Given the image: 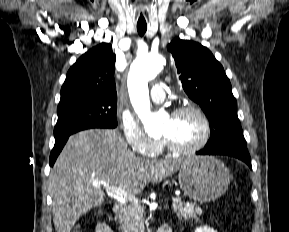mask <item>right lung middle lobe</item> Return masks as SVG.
I'll list each match as a JSON object with an SVG mask.
<instances>
[{"mask_svg":"<svg viewBox=\"0 0 289 232\" xmlns=\"http://www.w3.org/2000/svg\"><path fill=\"white\" fill-rule=\"evenodd\" d=\"M117 100L102 97L77 98L59 104L55 140L90 128H115Z\"/></svg>","mask_w":289,"mask_h":232,"instance_id":"dd1d6c3e","label":"right lung middle lobe"}]
</instances>
